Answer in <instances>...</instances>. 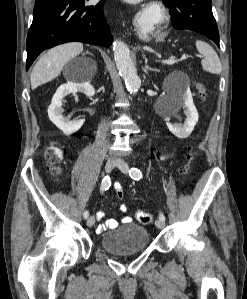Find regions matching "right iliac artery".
<instances>
[{
    "mask_svg": "<svg viewBox=\"0 0 247 299\" xmlns=\"http://www.w3.org/2000/svg\"><path fill=\"white\" fill-rule=\"evenodd\" d=\"M110 185H111L110 177L105 176L101 182L100 191H105V190L109 189ZM88 216H89V212L87 210L84 211L83 217L86 219V218H88Z\"/></svg>",
    "mask_w": 247,
    "mask_h": 299,
    "instance_id": "82829eb1",
    "label": "right iliac artery"
}]
</instances>
